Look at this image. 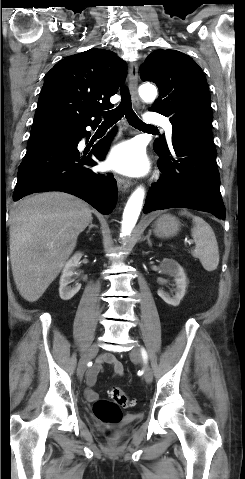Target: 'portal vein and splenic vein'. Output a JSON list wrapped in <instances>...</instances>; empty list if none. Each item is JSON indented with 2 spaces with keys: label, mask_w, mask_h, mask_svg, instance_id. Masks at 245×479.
Returning <instances> with one entry per match:
<instances>
[{
  "label": "portal vein and splenic vein",
  "mask_w": 245,
  "mask_h": 479,
  "mask_svg": "<svg viewBox=\"0 0 245 479\" xmlns=\"http://www.w3.org/2000/svg\"><path fill=\"white\" fill-rule=\"evenodd\" d=\"M189 245H191L193 242L192 241H187Z\"/></svg>",
  "instance_id": "18ae733b"
}]
</instances>
